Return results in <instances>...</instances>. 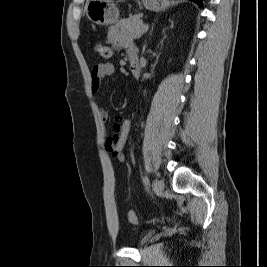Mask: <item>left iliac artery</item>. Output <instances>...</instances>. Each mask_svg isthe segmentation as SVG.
Here are the masks:
<instances>
[{"label": "left iliac artery", "mask_w": 267, "mask_h": 267, "mask_svg": "<svg viewBox=\"0 0 267 267\" xmlns=\"http://www.w3.org/2000/svg\"><path fill=\"white\" fill-rule=\"evenodd\" d=\"M143 182H144V184L148 187L149 186V184H150V182H149V178L147 177V176H145L144 178H143Z\"/></svg>", "instance_id": "left-iliac-artery-1"}]
</instances>
